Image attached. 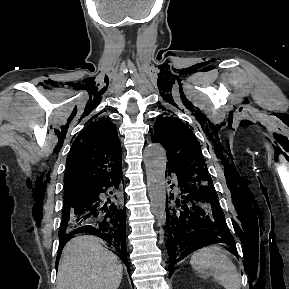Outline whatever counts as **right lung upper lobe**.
Masks as SVG:
<instances>
[{"instance_id":"1","label":"right lung upper lobe","mask_w":289,"mask_h":289,"mask_svg":"<svg viewBox=\"0 0 289 289\" xmlns=\"http://www.w3.org/2000/svg\"><path fill=\"white\" fill-rule=\"evenodd\" d=\"M64 197L89 191L121 176V145L116 125L108 118L95 119L75 138L67 157Z\"/></svg>"}]
</instances>
